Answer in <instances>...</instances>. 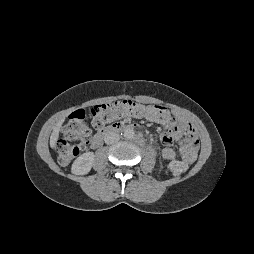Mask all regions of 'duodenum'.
<instances>
[{
	"instance_id": "duodenum-1",
	"label": "duodenum",
	"mask_w": 254,
	"mask_h": 254,
	"mask_svg": "<svg viewBox=\"0 0 254 254\" xmlns=\"http://www.w3.org/2000/svg\"><path fill=\"white\" fill-rule=\"evenodd\" d=\"M134 127L132 125H128L125 123H114L111 126L101 130L99 133H97L91 140V146L93 148H98L103 142V139L105 136L110 134L111 132H121V131H130Z\"/></svg>"
}]
</instances>
